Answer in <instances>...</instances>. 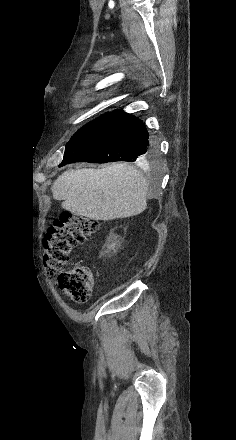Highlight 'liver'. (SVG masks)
<instances>
[{
    "label": "liver",
    "mask_w": 236,
    "mask_h": 440,
    "mask_svg": "<svg viewBox=\"0 0 236 440\" xmlns=\"http://www.w3.org/2000/svg\"><path fill=\"white\" fill-rule=\"evenodd\" d=\"M53 197L62 208L93 220L132 217L147 207L148 185L140 171L127 163L102 169H70L53 183Z\"/></svg>",
    "instance_id": "liver-1"
}]
</instances>
